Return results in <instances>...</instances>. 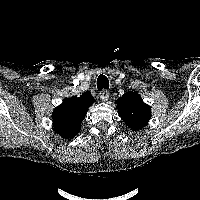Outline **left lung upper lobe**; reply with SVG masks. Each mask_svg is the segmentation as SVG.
Wrapping results in <instances>:
<instances>
[{"label":"left lung upper lobe","instance_id":"1","mask_svg":"<svg viewBox=\"0 0 200 200\" xmlns=\"http://www.w3.org/2000/svg\"><path fill=\"white\" fill-rule=\"evenodd\" d=\"M117 106L119 115L131 129L139 130L148 124L151 107L143 102L138 93L126 92L118 98Z\"/></svg>","mask_w":200,"mask_h":200}]
</instances>
